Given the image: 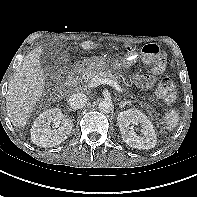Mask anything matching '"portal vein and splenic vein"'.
I'll return each instance as SVG.
<instances>
[{
	"label": "portal vein and splenic vein",
	"mask_w": 197,
	"mask_h": 197,
	"mask_svg": "<svg viewBox=\"0 0 197 197\" xmlns=\"http://www.w3.org/2000/svg\"><path fill=\"white\" fill-rule=\"evenodd\" d=\"M100 84L110 85L113 88H115L118 92H120V93L123 92L121 86L116 81H113L112 79H108V78L103 79V78L95 77L92 79V81L90 83V87H97Z\"/></svg>",
	"instance_id": "1"
}]
</instances>
